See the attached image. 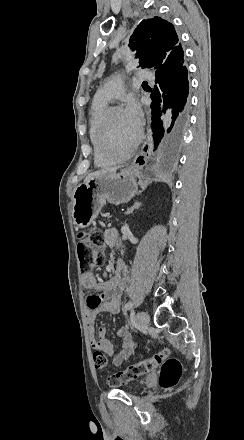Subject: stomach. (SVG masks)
Masks as SVG:
<instances>
[{"label": "stomach", "instance_id": "1", "mask_svg": "<svg viewBox=\"0 0 244 440\" xmlns=\"http://www.w3.org/2000/svg\"><path fill=\"white\" fill-rule=\"evenodd\" d=\"M137 176V170L128 168L119 174L90 178L87 184L76 186L72 194V218L75 226L88 228L106 202L115 206L129 202L138 192Z\"/></svg>", "mask_w": 244, "mask_h": 440}]
</instances>
